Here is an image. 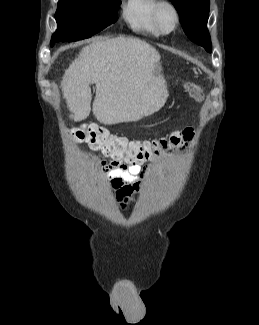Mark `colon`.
<instances>
[{"mask_svg":"<svg viewBox=\"0 0 259 325\" xmlns=\"http://www.w3.org/2000/svg\"><path fill=\"white\" fill-rule=\"evenodd\" d=\"M185 88L194 99L198 101L203 99V89L196 83L188 82ZM72 134L107 157L129 163L144 162L160 152L172 151L179 145L180 148H186V144H193L194 136L193 129L187 128L156 140H129L111 134L106 128L96 124L75 128L72 130Z\"/></svg>","mask_w":259,"mask_h":325,"instance_id":"colon-1","label":"colon"}]
</instances>
